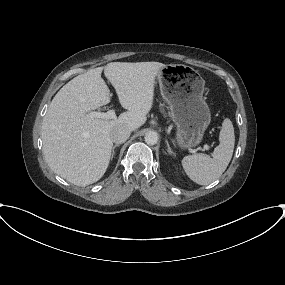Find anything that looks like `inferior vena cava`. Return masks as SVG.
I'll return each mask as SVG.
<instances>
[{"label": "inferior vena cava", "mask_w": 285, "mask_h": 285, "mask_svg": "<svg viewBox=\"0 0 285 285\" xmlns=\"http://www.w3.org/2000/svg\"><path fill=\"white\" fill-rule=\"evenodd\" d=\"M131 130L126 127H115L111 131V139L114 143H124L130 136Z\"/></svg>", "instance_id": "inferior-vena-cava-1"}]
</instances>
